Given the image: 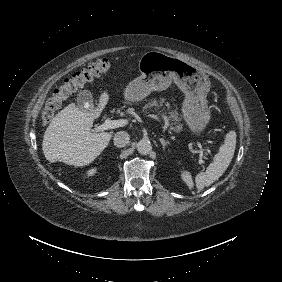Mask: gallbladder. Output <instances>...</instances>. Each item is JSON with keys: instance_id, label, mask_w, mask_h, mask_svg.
<instances>
[{"instance_id": "1", "label": "gallbladder", "mask_w": 282, "mask_h": 282, "mask_svg": "<svg viewBox=\"0 0 282 282\" xmlns=\"http://www.w3.org/2000/svg\"><path fill=\"white\" fill-rule=\"evenodd\" d=\"M93 102V97L90 91L83 90L80 91L77 95V105L80 108H84L87 105H90Z\"/></svg>"}]
</instances>
